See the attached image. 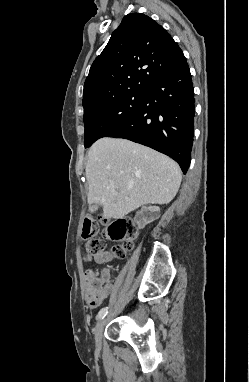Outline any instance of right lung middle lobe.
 <instances>
[{
	"mask_svg": "<svg viewBox=\"0 0 249 382\" xmlns=\"http://www.w3.org/2000/svg\"><path fill=\"white\" fill-rule=\"evenodd\" d=\"M145 99L146 91H134L84 108L85 148L128 122L141 109Z\"/></svg>",
	"mask_w": 249,
	"mask_h": 382,
	"instance_id": "dd1d6c3e",
	"label": "right lung middle lobe"
}]
</instances>
